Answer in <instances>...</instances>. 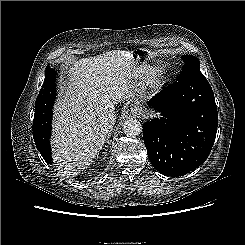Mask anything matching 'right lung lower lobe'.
I'll list each match as a JSON object with an SVG mask.
<instances>
[{
    "label": "right lung lower lobe",
    "mask_w": 245,
    "mask_h": 245,
    "mask_svg": "<svg viewBox=\"0 0 245 245\" xmlns=\"http://www.w3.org/2000/svg\"><path fill=\"white\" fill-rule=\"evenodd\" d=\"M51 119L50 118H36L33 121V138L36 148L48 163H52L51 149H50V135H51Z\"/></svg>",
    "instance_id": "right-lung-lower-lobe-1"
}]
</instances>
